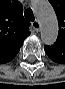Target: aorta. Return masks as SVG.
Instances as JSON below:
<instances>
[{"mask_svg": "<svg viewBox=\"0 0 65 89\" xmlns=\"http://www.w3.org/2000/svg\"><path fill=\"white\" fill-rule=\"evenodd\" d=\"M33 8L40 22L42 42L53 45L58 35V23L52 6L47 1H38Z\"/></svg>", "mask_w": 65, "mask_h": 89, "instance_id": "obj_1", "label": "aorta"}]
</instances>
